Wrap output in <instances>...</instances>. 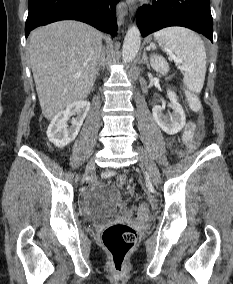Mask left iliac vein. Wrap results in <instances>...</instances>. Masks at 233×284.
Listing matches in <instances>:
<instances>
[{"label":"left iliac vein","instance_id":"1","mask_svg":"<svg viewBox=\"0 0 233 284\" xmlns=\"http://www.w3.org/2000/svg\"><path fill=\"white\" fill-rule=\"evenodd\" d=\"M139 159L147 170L148 177L154 185L160 183V172L151 156L143 149H138Z\"/></svg>","mask_w":233,"mask_h":284}]
</instances>
